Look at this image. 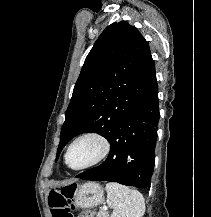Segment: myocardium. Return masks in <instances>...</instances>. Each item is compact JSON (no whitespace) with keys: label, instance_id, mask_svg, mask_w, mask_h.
Segmentation results:
<instances>
[{"label":"myocardium","instance_id":"1","mask_svg":"<svg viewBox=\"0 0 211 217\" xmlns=\"http://www.w3.org/2000/svg\"><path fill=\"white\" fill-rule=\"evenodd\" d=\"M85 138H94V139L98 140L102 146V150H101L100 154L98 155V157L95 158L90 163L83 165L81 167H77V168L72 167L69 163V154H70L71 148L74 146L75 143H77L78 141L85 139ZM110 151H111V142L105 134H103L99 131H87V132H84V133L78 135L69 144V146L67 147L66 153H65V163L70 169L75 170V171L89 169V168L94 167V166L100 164L101 162H103L110 154Z\"/></svg>","mask_w":211,"mask_h":217}]
</instances>
